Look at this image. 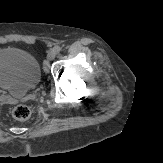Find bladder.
<instances>
[{"label": "bladder", "instance_id": "bladder-1", "mask_svg": "<svg viewBox=\"0 0 163 163\" xmlns=\"http://www.w3.org/2000/svg\"><path fill=\"white\" fill-rule=\"evenodd\" d=\"M40 78V64L31 53L18 48L0 50V89L20 96L33 89Z\"/></svg>", "mask_w": 163, "mask_h": 163}]
</instances>
